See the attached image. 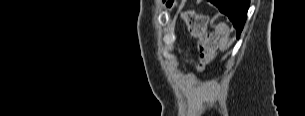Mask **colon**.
<instances>
[{
  "label": "colon",
  "instance_id": "colon-1",
  "mask_svg": "<svg viewBox=\"0 0 305 116\" xmlns=\"http://www.w3.org/2000/svg\"><path fill=\"white\" fill-rule=\"evenodd\" d=\"M188 31L197 41L199 69H203L214 58L218 34L207 31V17L192 10L181 13Z\"/></svg>",
  "mask_w": 305,
  "mask_h": 116
}]
</instances>
